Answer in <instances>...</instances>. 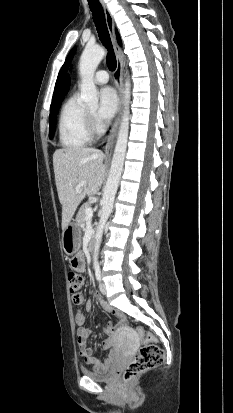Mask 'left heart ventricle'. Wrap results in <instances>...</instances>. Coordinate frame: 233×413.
<instances>
[{
	"label": "left heart ventricle",
	"instance_id": "obj_1",
	"mask_svg": "<svg viewBox=\"0 0 233 413\" xmlns=\"http://www.w3.org/2000/svg\"><path fill=\"white\" fill-rule=\"evenodd\" d=\"M89 111H90L91 113H93V114H94V113H95V111H96V107H92V108H90V109H89Z\"/></svg>",
	"mask_w": 233,
	"mask_h": 413
}]
</instances>
